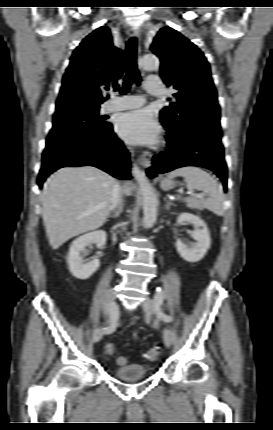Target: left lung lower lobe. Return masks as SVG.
I'll list each match as a JSON object with an SVG mask.
<instances>
[{
    "mask_svg": "<svg viewBox=\"0 0 273 430\" xmlns=\"http://www.w3.org/2000/svg\"><path fill=\"white\" fill-rule=\"evenodd\" d=\"M168 131V148L153 157L149 177L166 173L183 166H200L214 171L227 189V166L221 143V127L218 117L202 114L192 120L191 125L177 129L175 124L161 119Z\"/></svg>",
    "mask_w": 273,
    "mask_h": 430,
    "instance_id": "left-lung-lower-lobe-1",
    "label": "left lung lower lobe"
}]
</instances>
